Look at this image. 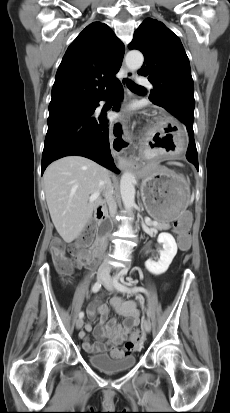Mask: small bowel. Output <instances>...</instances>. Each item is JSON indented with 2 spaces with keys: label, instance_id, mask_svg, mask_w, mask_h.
Masks as SVG:
<instances>
[{
  "label": "small bowel",
  "instance_id": "obj_1",
  "mask_svg": "<svg viewBox=\"0 0 230 413\" xmlns=\"http://www.w3.org/2000/svg\"><path fill=\"white\" fill-rule=\"evenodd\" d=\"M112 308L125 318L122 324L116 319L107 321L110 308L106 304H100L97 300L93 301L88 309L87 315L93 320L97 314L100 315L98 325L93 329L91 322L85 326V332H81L79 337L83 340V349L88 353L108 352L115 358L129 355L131 351L126 349V337L130 331L139 324V311L133 301H126L121 297L111 299ZM93 330L96 342L92 343L88 339L87 333Z\"/></svg>",
  "mask_w": 230,
  "mask_h": 413
}]
</instances>
